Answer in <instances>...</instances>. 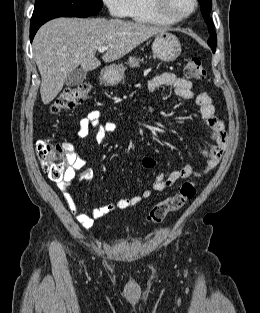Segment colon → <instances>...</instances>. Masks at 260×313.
Returning a JSON list of instances; mask_svg holds the SVG:
<instances>
[{"label": "colon", "mask_w": 260, "mask_h": 313, "mask_svg": "<svg viewBox=\"0 0 260 313\" xmlns=\"http://www.w3.org/2000/svg\"><path fill=\"white\" fill-rule=\"evenodd\" d=\"M205 70L199 58H190L184 68V75L190 80L205 78ZM90 93V86L82 83L69 87L61 92L53 101L50 111L53 114L68 111L84 103ZM71 146L67 143L53 144L45 140L37 142V155L41 161L45 175L54 181H60L71 166ZM196 187L193 182L184 183L180 190L155 204L148 214V221L160 223L173 212L180 210L188 201L194 198Z\"/></svg>", "instance_id": "5ec220e1"}]
</instances>
